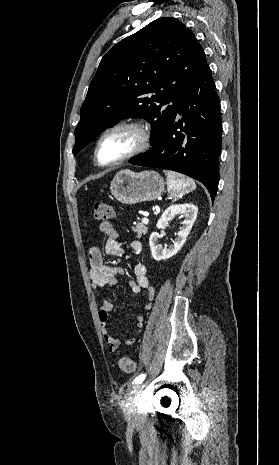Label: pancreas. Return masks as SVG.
<instances>
[{"mask_svg":"<svg viewBox=\"0 0 279 465\" xmlns=\"http://www.w3.org/2000/svg\"><path fill=\"white\" fill-rule=\"evenodd\" d=\"M132 230L137 234V238H141L142 235L147 233V226L144 223H139L136 227H133Z\"/></svg>","mask_w":279,"mask_h":465,"instance_id":"1","label":"pancreas"}]
</instances>
